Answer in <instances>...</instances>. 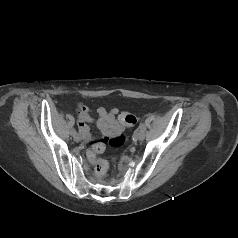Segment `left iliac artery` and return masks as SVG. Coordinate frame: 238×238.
Here are the masks:
<instances>
[{"label":"left iliac artery","mask_w":238,"mask_h":238,"mask_svg":"<svg viewBox=\"0 0 238 238\" xmlns=\"http://www.w3.org/2000/svg\"><path fill=\"white\" fill-rule=\"evenodd\" d=\"M139 126H140L143 134H146L148 132L149 129H148V127H146L145 123L142 122V123H140Z\"/></svg>","instance_id":"44dca946"}]
</instances>
